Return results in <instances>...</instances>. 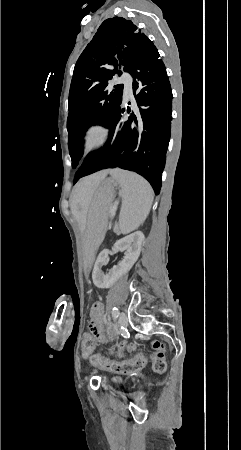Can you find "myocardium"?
Returning <instances> with one entry per match:
<instances>
[{"instance_id": "myocardium-1", "label": "myocardium", "mask_w": 241, "mask_h": 450, "mask_svg": "<svg viewBox=\"0 0 241 450\" xmlns=\"http://www.w3.org/2000/svg\"><path fill=\"white\" fill-rule=\"evenodd\" d=\"M81 125H83V124H81ZM96 125H98V124H96ZM84 126L85 127H92L93 123L92 122H85ZM104 134H105L104 130L92 129V130H89V134H86V135H90L91 137H85L84 136V137H82L81 140L84 143L87 142V144L89 145L87 147H89L90 149H103V144H98V142L102 141L101 137H103ZM81 151H90V150H81ZM94 155L95 154H93V153L89 154L88 152H82L81 153L82 157H88L89 156L90 158H93Z\"/></svg>"}]
</instances>
